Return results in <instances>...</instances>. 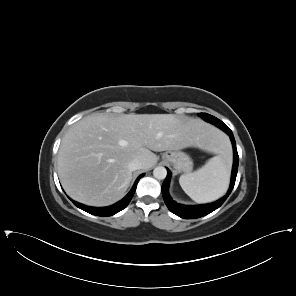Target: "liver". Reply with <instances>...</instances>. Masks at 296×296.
Returning a JSON list of instances; mask_svg holds the SVG:
<instances>
[{
  "mask_svg": "<svg viewBox=\"0 0 296 296\" xmlns=\"http://www.w3.org/2000/svg\"><path fill=\"white\" fill-rule=\"evenodd\" d=\"M222 139L214 127L191 117L90 115L65 134L58 152V175L72 199L89 206H108L128 189L132 160H141L142 169L148 170L158 160L152 151L197 147L214 152Z\"/></svg>",
  "mask_w": 296,
  "mask_h": 296,
  "instance_id": "6515ba94",
  "label": "liver"
}]
</instances>
